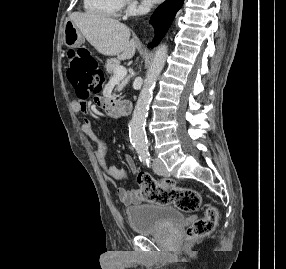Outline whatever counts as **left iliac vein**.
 <instances>
[{"instance_id":"left-iliac-vein-1","label":"left iliac vein","mask_w":286,"mask_h":269,"mask_svg":"<svg viewBox=\"0 0 286 269\" xmlns=\"http://www.w3.org/2000/svg\"><path fill=\"white\" fill-rule=\"evenodd\" d=\"M154 170H155V172H157L160 175H163V176H167L168 175V172H167L164 164L158 158H156L154 160Z\"/></svg>"}]
</instances>
